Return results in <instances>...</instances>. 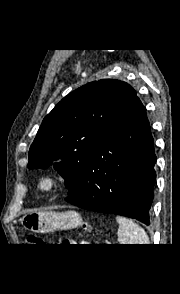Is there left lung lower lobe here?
Wrapping results in <instances>:
<instances>
[{
    "label": "left lung lower lobe",
    "mask_w": 180,
    "mask_h": 294,
    "mask_svg": "<svg viewBox=\"0 0 180 294\" xmlns=\"http://www.w3.org/2000/svg\"><path fill=\"white\" fill-rule=\"evenodd\" d=\"M156 156L146 109L137 97L97 148L80 189L65 200L78 207L150 224Z\"/></svg>",
    "instance_id": "1"
}]
</instances>
